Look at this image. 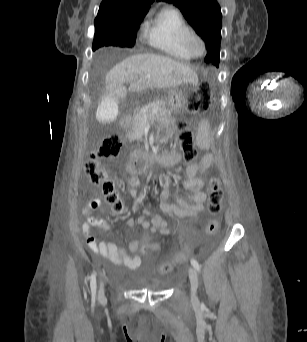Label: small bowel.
I'll use <instances>...</instances> for the list:
<instances>
[{
	"mask_svg": "<svg viewBox=\"0 0 307 342\" xmlns=\"http://www.w3.org/2000/svg\"><path fill=\"white\" fill-rule=\"evenodd\" d=\"M197 146L206 151L199 162H191L188 164L186 173L187 178L182 182V186L188 191L187 198H179L175 204L167 202L169 197V181L167 180L161 192L160 209L163 213L185 219H191L197 216L204 210L206 193L202 190L204 186V177L208 174L210 167L215 162V156L209 152L211 145V129L210 124L206 119H201L197 124ZM169 156L173 159V164L179 163L182 159L178 151H172ZM128 173V192L132 195L136 194V187L139 183L136 170L132 167L127 169ZM102 207L99 198L90 199L82 210L86 216V221L82 225V233L86 240L87 245L95 252L98 253L117 265H124L130 269H135L140 265L138 257H132L130 254L135 252L139 246L140 241H132L129 243L128 248L119 249L112 242H97L90 233V227L95 226L105 231L110 229L109 224L103 220L98 219L91 215L95 210ZM146 216H150V221L146 220ZM128 226L134 231L136 223L147 231L148 229H160V232H172L167 223L162 220L158 215H153L148 211H144V215L135 221L126 217Z\"/></svg>",
	"mask_w": 307,
	"mask_h": 342,
	"instance_id": "c3829d8e",
	"label": "small bowel"
}]
</instances>
